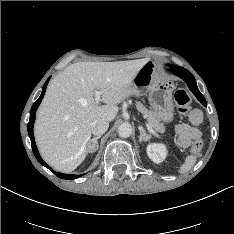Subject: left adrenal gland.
<instances>
[{
	"mask_svg": "<svg viewBox=\"0 0 234 234\" xmlns=\"http://www.w3.org/2000/svg\"><path fill=\"white\" fill-rule=\"evenodd\" d=\"M140 131V136H139V142L141 143L142 141H148L151 139V135L147 134L145 129L142 126L138 127Z\"/></svg>",
	"mask_w": 234,
	"mask_h": 234,
	"instance_id": "left-adrenal-gland-1",
	"label": "left adrenal gland"
}]
</instances>
